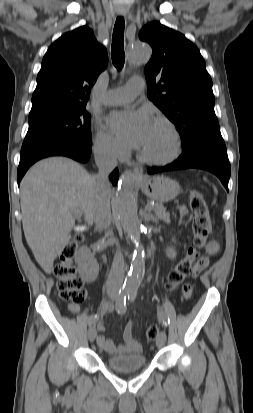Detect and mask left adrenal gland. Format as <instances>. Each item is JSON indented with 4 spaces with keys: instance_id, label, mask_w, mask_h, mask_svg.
Returning a JSON list of instances; mask_svg holds the SVG:
<instances>
[{
    "instance_id": "1",
    "label": "left adrenal gland",
    "mask_w": 253,
    "mask_h": 413,
    "mask_svg": "<svg viewBox=\"0 0 253 413\" xmlns=\"http://www.w3.org/2000/svg\"><path fill=\"white\" fill-rule=\"evenodd\" d=\"M142 216L146 221H152L154 223L157 222V219L151 214L150 211L147 212L146 210H144Z\"/></svg>"
}]
</instances>
